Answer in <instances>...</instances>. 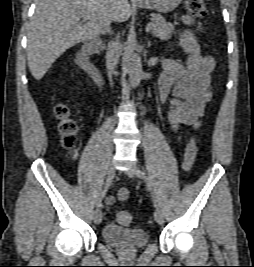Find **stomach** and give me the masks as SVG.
<instances>
[{
  "label": "stomach",
  "instance_id": "obj_1",
  "mask_svg": "<svg viewBox=\"0 0 254 267\" xmlns=\"http://www.w3.org/2000/svg\"><path fill=\"white\" fill-rule=\"evenodd\" d=\"M181 1L182 0H139L138 6L160 13H168L173 11Z\"/></svg>",
  "mask_w": 254,
  "mask_h": 267
}]
</instances>
